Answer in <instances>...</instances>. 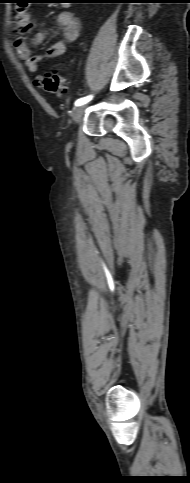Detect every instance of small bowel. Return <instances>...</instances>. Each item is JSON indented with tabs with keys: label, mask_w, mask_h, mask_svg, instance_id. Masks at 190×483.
Listing matches in <instances>:
<instances>
[{
	"label": "small bowel",
	"mask_w": 190,
	"mask_h": 483,
	"mask_svg": "<svg viewBox=\"0 0 190 483\" xmlns=\"http://www.w3.org/2000/svg\"><path fill=\"white\" fill-rule=\"evenodd\" d=\"M57 23L63 29V39L54 43L45 53L41 55H32L24 39V35L29 33L33 28V22L30 20L29 10L21 6L15 14V35L13 37V46L16 56L31 72L35 73L38 63L45 59H52L63 55L68 44L74 42L80 32L81 24L79 19L70 10L61 11L57 17ZM47 38L45 31H38L33 35L32 42L35 45L42 44Z\"/></svg>",
	"instance_id": "1"
}]
</instances>
